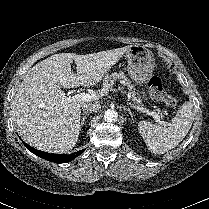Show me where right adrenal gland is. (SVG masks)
Returning a JSON list of instances; mask_svg holds the SVG:
<instances>
[{"label": "right adrenal gland", "instance_id": "obj_1", "mask_svg": "<svg viewBox=\"0 0 209 209\" xmlns=\"http://www.w3.org/2000/svg\"><path fill=\"white\" fill-rule=\"evenodd\" d=\"M88 113L89 112H87V111H85V112H83L81 115H83L82 117H81V122H80V127L81 126H83L84 125V122H85V119H86V116L88 115Z\"/></svg>", "mask_w": 209, "mask_h": 209}]
</instances>
